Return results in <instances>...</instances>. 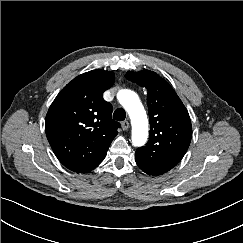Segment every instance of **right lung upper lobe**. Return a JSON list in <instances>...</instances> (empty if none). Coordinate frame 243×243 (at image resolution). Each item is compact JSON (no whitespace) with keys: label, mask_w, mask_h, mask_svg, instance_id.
<instances>
[{"label":"right lung upper lobe","mask_w":243,"mask_h":243,"mask_svg":"<svg viewBox=\"0 0 243 243\" xmlns=\"http://www.w3.org/2000/svg\"><path fill=\"white\" fill-rule=\"evenodd\" d=\"M115 81L112 71L92 70L68 83L51 104L46 136L58 160L86 173L106 157L120 124L111 118L112 105L102 94Z\"/></svg>","instance_id":"cb5924a9"}]
</instances>
